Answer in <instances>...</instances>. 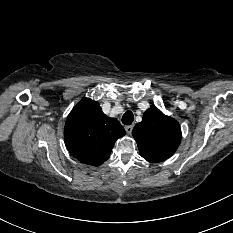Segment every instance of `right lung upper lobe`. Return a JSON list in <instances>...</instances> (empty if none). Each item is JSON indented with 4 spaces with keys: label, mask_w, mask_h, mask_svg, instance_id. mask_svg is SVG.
Masks as SVG:
<instances>
[{
    "label": "right lung upper lobe",
    "mask_w": 233,
    "mask_h": 233,
    "mask_svg": "<svg viewBox=\"0 0 233 233\" xmlns=\"http://www.w3.org/2000/svg\"><path fill=\"white\" fill-rule=\"evenodd\" d=\"M126 134L115 118H108L98 102L82 99L70 112L64 140L68 151L84 164L99 166L110 157L116 140Z\"/></svg>",
    "instance_id": "cb5924a9"
}]
</instances>
